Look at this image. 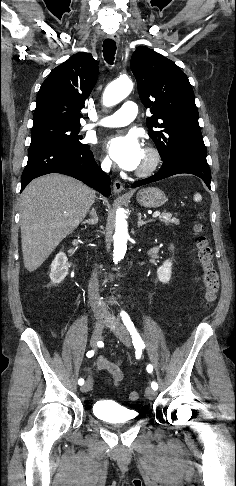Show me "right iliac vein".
Wrapping results in <instances>:
<instances>
[{
    "instance_id": "obj_1",
    "label": "right iliac vein",
    "mask_w": 236,
    "mask_h": 486,
    "mask_svg": "<svg viewBox=\"0 0 236 486\" xmlns=\"http://www.w3.org/2000/svg\"><path fill=\"white\" fill-rule=\"evenodd\" d=\"M102 336H103V326H102V323L101 322H97L95 327H94V330H93V333H92V336H91V346L96 349L97 347V343L102 339ZM93 386V380L91 377H89L85 384L81 387V391L83 393H86L88 391L91 390Z\"/></svg>"
}]
</instances>
